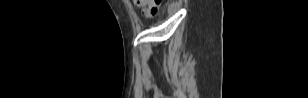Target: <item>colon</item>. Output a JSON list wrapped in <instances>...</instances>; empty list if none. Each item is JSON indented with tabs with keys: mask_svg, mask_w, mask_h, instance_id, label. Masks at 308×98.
Returning <instances> with one entry per match:
<instances>
[{
	"mask_svg": "<svg viewBox=\"0 0 308 98\" xmlns=\"http://www.w3.org/2000/svg\"><path fill=\"white\" fill-rule=\"evenodd\" d=\"M134 2L143 8L146 17H153L159 12L162 0H134Z\"/></svg>",
	"mask_w": 308,
	"mask_h": 98,
	"instance_id": "obj_1",
	"label": "colon"
}]
</instances>
